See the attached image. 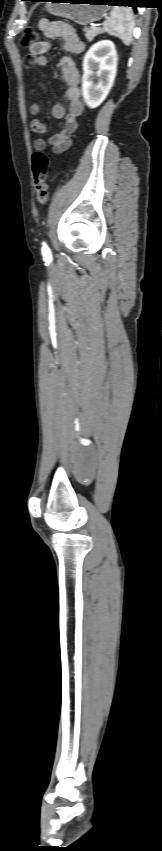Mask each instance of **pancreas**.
I'll use <instances>...</instances> for the list:
<instances>
[{"instance_id": "obj_1", "label": "pancreas", "mask_w": 162, "mask_h": 851, "mask_svg": "<svg viewBox=\"0 0 162 851\" xmlns=\"http://www.w3.org/2000/svg\"><path fill=\"white\" fill-rule=\"evenodd\" d=\"M84 32L87 41L92 42L96 36L103 33V30L101 28H84Z\"/></svg>"}]
</instances>
